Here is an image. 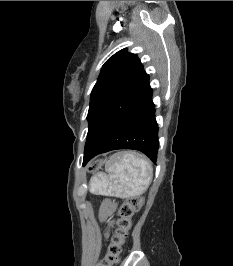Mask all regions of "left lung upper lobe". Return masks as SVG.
Instances as JSON below:
<instances>
[{
    "label": "left lung upper lobe",
    "instance_id": "obj_1",
    "mask_svg": "<svg viewBox=\"0 0 233 266\" xmlns=\"http://www.w3.org/2000/svg\"><path fill=\"white\" fill-rule=\"evenodd\" d=\"M143 65L136 54L127 49L115 53L104 65L91 93L87 119L92 134L99 118L108 106L138 77Z\"/></svg>",
    "mask_w": 233,
    "mask_h": 266
}]
</instances>
